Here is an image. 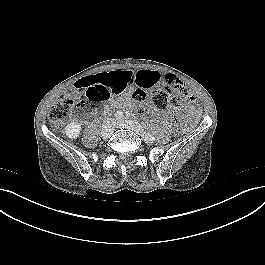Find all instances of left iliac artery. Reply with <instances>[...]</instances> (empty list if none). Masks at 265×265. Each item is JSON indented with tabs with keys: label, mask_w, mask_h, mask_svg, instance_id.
<instances>
[{
	"label": "left iliac artery",
	"mask_w": 265,
	"mask_h": 265,
	"mask_svg": "<svg viewBox=\"0 0 265 265\" xmlns=\"http://www.w3.org/2000/svg\"><path fill=\"white\" fill-rule=\"evenodd\" d=\"M143 138H145V139H153L154 137L151 134L144 132Z\"/></svg>",
	"instance_id": "44dca946"
}]
</instances>
